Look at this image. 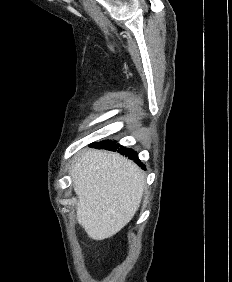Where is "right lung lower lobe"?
Segmentation results:
<instances>
[{
    "label": "right lung lower lobe",
    "instance_id": "1",
    "mask_svg": "<svg viewBox=\"0 0 232 282\" xmlns=\"http://www.w3.org/2000/svg\"><path fill=\"white\" fill-rule=\"evenodd\" d=\"M91 147L97 148V149H107L112 151H117L119 153L126 154L128 158L131 160H134L135 163H137L142 168H145V166L140 162V160L137 158V153L133 151L132 149L125 148L123 146H120L119 144H116L115 141L107 140L102 142H96L90 145Z\"/></svg>",
    "mask_w": 232,
    "mask_h": 282
}]
</instances>
